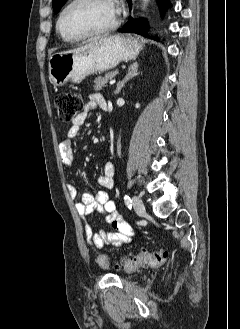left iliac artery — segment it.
Instances as JSON below:
<instances>
[{"label": "left iliac artery", "mask_w": 240, "mask_h": 329, "mask_svg": "<svg viewBox=\"0 0 240 329\" xmlns=\"http://www.w3.org/2000/svg\"><path fill=\"white\" fill-rule=\"evenodd\" d=\"M124 201H125V204H126V206L129 208V209H131V207H132V200H131V198L128 196V195H125L124 196Z\"/></svg>", "instance_id": "44dca946"}]
</instances>
